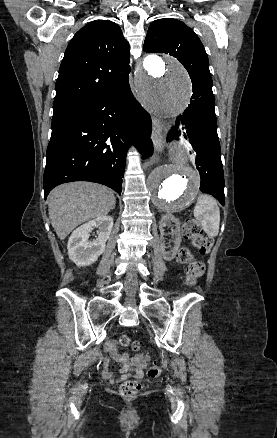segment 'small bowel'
Masks as SVG:
<instances>
[{"mask_svg":"<svg viewBox=\"0 0 277 438\" xmlns=\"http://www.w3.org/2000/svg\"><path fill=\"white\" fill-rule=\"evenodd\" d=\"M106 348L110 350L108 352V355L110 357H114L115 360L121 364L120 371L125 378L136 377L141 374L149 359V356L147 354H139L134 357H129L127 354L118 353L116 350V342H107ZM103 365L105 367H108L110 365V362L108 360H105L103 362ZM104 377L106 379H113L112 374L108 371L104 372Z\"/></svg>","mask_w":277,"mask_h":438,"instance_id":"small-bowel-1","label":"small bowel"}]
</instances>
